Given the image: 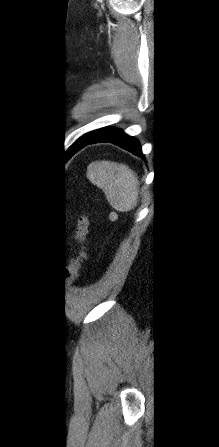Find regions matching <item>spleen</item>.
Returning a JSON list of instances; mask_svg holds the SVG:
<instances>
[{"mask_svg": "<svg viewBox=\"0 0 219 447\" xmlns=\"http://www.w3.org/2000/svg\"><path fill=\"white\" fill-rule=\"evenodd\" d=\"M87 177L102 189L110 205L118 211H130L137 205L138 179L125 164L95 161L88 166Z\"/></svg>", "mask_w": 219, "mask_h": 447, "instance_id": "obj_1", "label": "spleen"}]
</instances>
